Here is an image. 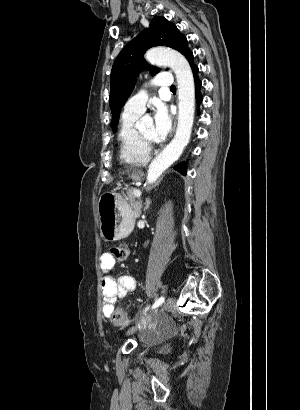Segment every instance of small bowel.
I'll return each mask as SVG.
<instances>
[{"mask_svg": "<svg viewBox=\"0 0 300 410\" xmlns=\"http://www.w3.org/2000/svg\"><path fill=\"white\" fill-rule=\"evenodd\" d=\"M99 261L103 273L101 279V291L103 296L102 312L105 316H109L114 305L127 293L135 290L136 280L128 273L120 274L117 277L112 276L111 271L116 262L110 253H102Z\"/></svg>", "mask_w": 300, "mask_h": 410, "instance_id": "small-bowel-1", "label": "small bowel"}]
</instances>
